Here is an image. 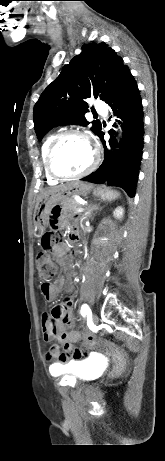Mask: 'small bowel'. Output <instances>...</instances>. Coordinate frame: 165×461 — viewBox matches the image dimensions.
<instances>
[{"instance_id":"c3829d8e","label":"small bowel","mask_w":165,"mask_h":461,"mask_svg":"<svg viewBox=\"0 0 165 461\" xmlns=\"http://www.w3.org/2000/svg\"><path fill=\"white\" fill-rule=\"evenodd\" d=\"M67 209L65 204H52L49 215L51 222H60L61 214ZM62 219L64 222L71 224L72 228L75 227L73 222L80 220L79 214H63ZM73 221V222H71ZM67 252L66 244H59L53 248V255L58 259H62ZM65 288L70 296L66 297L62 303L57 304L55 307L58 308L59 316L55 317L51 313H45L42 316V336L46 342L53 340H77L90 342L91 338L88 334H82L77 331L71 330L73 325V313H72V296L74 286L70 275L61 276L53 282L43 281L40 284V291L42 296L47 301H53L56 299L61 288ZM52 309V310H53ZM71 356L61 352V347L57 344L52 345L47 354L48 360H53L54 363L51 365L53 369L62 370L61 366L63 363L69 360Z\"/></svg>"}]
</instances>
